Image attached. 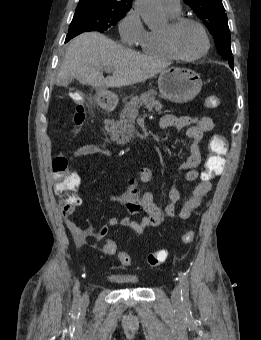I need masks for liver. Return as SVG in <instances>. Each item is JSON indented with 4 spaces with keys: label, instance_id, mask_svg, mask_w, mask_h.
Here are the masks:
<instances>
[{
    "label": "liver",
    "instance_id": "1",
    "mask_svg": "<svg viewBox=\"0 0 261 340\" xmlns=\"http://www.w3.org/2000/svg\"><path fill=\"white\" fill-rule=\"evenodd\" d=\"M132 49L118 45L98 32H86L69 44L60 67L56 84L67 86L72 79L96 88L133 85L154 77L168 67ZM112 75L104 78L103 70Z\"/></svg>",
    "mask_w": 261,
    "mask_h": 340
}]
</instances>
